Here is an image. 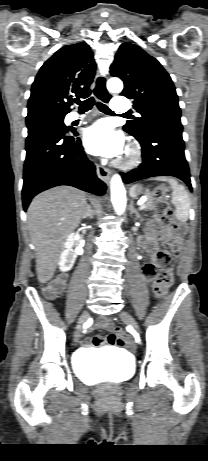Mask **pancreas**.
<instances>
[{
	"label": "pancreas",
	"instance_id": "1",
	"mask_svg": "<svg viewBox=\"0 0 208 461\" xmlns=\"http://www.w3.org/2000/svg\"><path fill=\"white\" fill-rule=\"evenodd\" d=\"M153 199L151 197L148 198L146 204L144 206H142L140 209H155V206L153 205Z\"/></svg>",
	"mask_w": 208,
	"mask_h": 461
}]
</instances>
